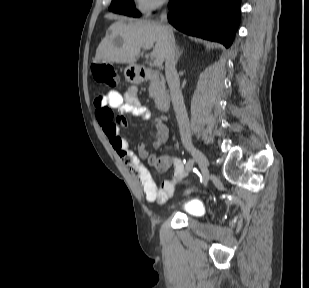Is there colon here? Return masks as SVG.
Wrapping results in <instances>:
<instances>
[{"instance_id": "colon-1", "label": "colon", "mask_w": 309, "mask_h": 288, "mask_svg": "<svg viewBox=\"0 0 309 288\" xmlns=\"http://www.w3.org/2000/svg\"><path fill=\"white\" fill-rule=\"evenodd\" d=\"M94 77L97 83L108 87H115L118 82L115 69L109 64L105 63H97L94 65ZM117 120L119 123L126 122L123 116H119Z\"/></svg>"}]
</instances>
